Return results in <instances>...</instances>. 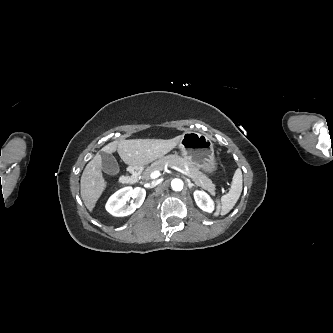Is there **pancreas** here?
<instances>
[{
	"label": "pancreas",
	"mask_w": 333,
	"mask_h": 333,
	"mask_svg": "<svg viewBox=\"0 0 333 333\" xmlns=\"http://www.w3.org/2000/svg\"><path fill=\"white\" fill-rule=\"evenodd\" d=\"M166 165L177 166L185 170L188 176L199 186L206 189L210 193H215V184L212 180L205 176L199 169L188 159L180 157L178 155H168L159 158L154 161L146 170L142 173V179L148 181L150 179V174L156 170L162 171ZM188 167V171L186 170Z\"/></svg>",
	"instance_id": "1"
}]
</instances>
